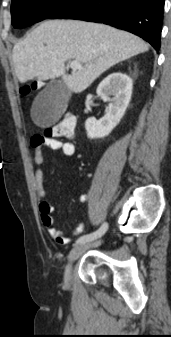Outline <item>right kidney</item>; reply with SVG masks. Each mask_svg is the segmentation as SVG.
I'll return each mask as SVG.
<instances>
[{
	"label": "right kidney",
	"instance_id": "obj_1",
	"mask_svg": "<svg viewBox=\"0 0 171 337\" xmlns=\"http://www.w3.org/2000/svg\"><path fill=\"white\" fill-rule=\"evenodd\" d=\"M132 88V79L121 72L108 75L99 84L96 92L104 102H109L108 111L100 120L95 118L86 120L85 129L88 138H104L111 133L125 114L131 100Z\"/></svg>",
	"mask_w": 171,
	"mask_h": 337
}]
</instances>
